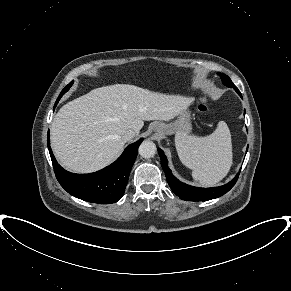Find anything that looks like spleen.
<instances>
[{
  "mask_svg": "<svg viewBox=\"0 0 291 291\" xmlns=\"http://www.w3.org/2000/svg\"><path fill=\"white\" fill-rule=\"evenodd\" d=\"M175 145L181 162L192 170L193 179L201 185L218 183L232 166L231 134L224 121L206 137L177 133Z\"/></svg>",
  "mask_w": 291,
  "mask_h": 291,
  "instance_id": "obj_1",
  "label": "spleen"
}]
</instances>
